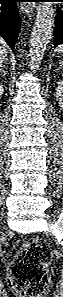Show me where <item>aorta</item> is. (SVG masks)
<instances>
[{
    "mask_svg": "<svg viewBox=\"0 0 63 297\" xmlns=\"http://www.w3.org/2000/svg\"><path fill=\"white\" fill-rule=\"evenodd\" d=\"M55 10L50 2H42L37 9V15L30 39V66L37 69L43 60L45 50L53 35Z\"/></svg>",
    "mask_w": 63,
    "mask_h": 297,
    "instance_id": "aorta-1",
    "label": "aorta"
}]
</instances>
